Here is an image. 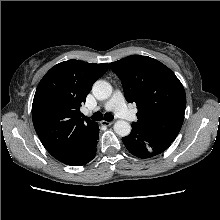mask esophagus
<instances>
[{
  "label": "esophagus",
  "mask_w": 220,
  "mask_h": 220,
  "mask_svg": "<svg viewBox=\"0 0 220 220\" xmlns=\"http://www.w3.org/2000/svg\"><path fill=\"white\" fill-rule=\"evenodd\" d=\"M102 123L106 126H110L114 123V121H102Z\"/></svg>",
  "instance_id": "1"
}]
</instances>
